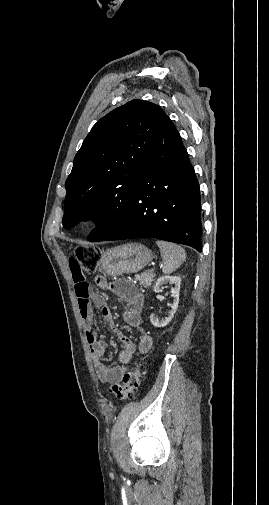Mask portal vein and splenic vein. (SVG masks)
Here are the masks:
<instances>
[{
  "label": "portal vein and splenic vein",
  "mask_w": 269,
  "mask_h": 505,
  "mask_svg": "<svg viewBox=\"0 0 269 505\" xmlns=\"http://www.w3.org/2000/svg\"><path fill=\"white\" fill-rule=\"evenodd\" d=\"M150 271H151V272H153V271H154V269H151Z\"/></svg>",
  "instance_id": "obj_1"
}]
</instances>
